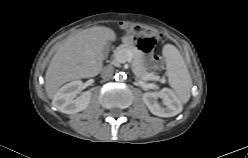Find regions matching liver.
I'll return each instance as SVG.
<instances>
[{
  "label": "liver",
  "mask_w": 248,
  "mask_h": 158,
  "mask_svg": "<svg viewBox=\"0 0 248 158\" xmlns=\"http://www.w3.org/2000/svg\"><path fill=\"white\" fill-rule=\"evenodd\" d=\"M116 35L107 27H92L66 38L52 57L45 75L46 93L55 99L66 82L97 75L102 68V55L108 42Z\"/></svg>",
  "instance_id": "obj_1"
}]
</instances>
